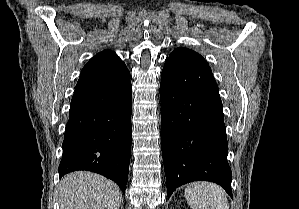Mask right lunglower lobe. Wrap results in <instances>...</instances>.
<instances>
[{"instance_id":"right-lung-lower-lobe-1","label":"right lung lower lobe","mask_w":299,"mask_h":209,"mask_svg":"<svg viewBox=\"0 0 299 209\" xmlns=\"http://www.w3.org/2000/svg\"><path fill=\"white\" fill-rule=\"evenodd\" d=\"M130 73L81 71L69 110L59 176L87 170L125 193L131 154Z\"/></svg>"}]
</instances>
